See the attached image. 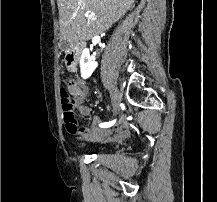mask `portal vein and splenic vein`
Instances as JSON below:
<instances>
[{"label": "portal vein and splenic vein", "mask_w": 217, "mask_h": 202, "mask_svg": "<svg viewBox=\"0 0 217 202\" xmlns=\"http://www.w3.org/2000/svg\"><path fill=\"white\" fill-rule=\"evenodd\" d=\"M93 20H97V18H93Z\"/></svg>", "instance_id": "obj_1"}]
</instances>
